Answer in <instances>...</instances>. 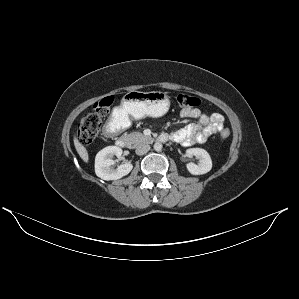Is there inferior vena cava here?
<instances>
[{"mask_svg":"<svg viewBox=\"0 0 299 299\" xmlns=\"http://www.w3.org/2000/svg\"><path fill=\"white\" fill-rule=\"evenodd\" d=\"M150 150V145L149 144H139L136 147V154L137 155H144Z\"/></svg>","mask_w":299,"mask_h":299,"instance_id":"inferior-vena-cava-1","label":"inferior vena cava"}]
</instances>
